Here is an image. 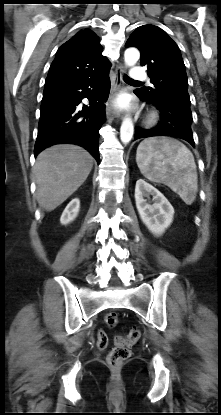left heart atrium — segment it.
Instances as JSON below:
<instances>
[{
    "instance_id": "39dd6f15",
    "label": "left heart atrium",
    "mask_w": 221,
    "mask_h": 415,
    "mask_svg": "<svg viewBox=\"0 0 221 415\" xmlns=\"http://www.w3.org/2000/svg\"><path fill=\"white\" fill-rule=\"evenodd\" d=\"M117 103H118V106L120 107H126L128 105V100L126 97H122L119 99Z\"/></svg>"
}]
</instances>
